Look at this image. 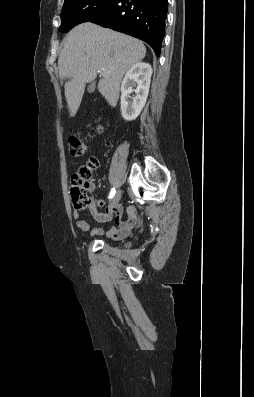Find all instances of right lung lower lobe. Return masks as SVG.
Segmentation results:
<instances>
[{
    "instance_id": "right-lung-lower-lobe-1",
    "label": "right lung lower lobe",
    "mask_w": 254,
    "mask_h": 397,
    "mask_svg": "<svg viewBox=\"0 0 254 397\" xmlns=\"http://www.w3.org/2000/svg\"><path fill=\"white\" fill-rule=\"evenodd\" d=\"M167 3V0H112L101 14L88 22L139 38L160 56Z\"/></svg>"
}]
</instances>
